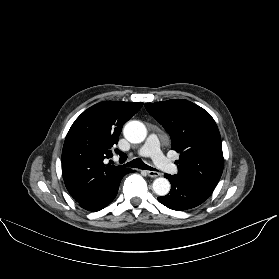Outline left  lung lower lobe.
<instances>
[{"label":"left lung lower lobe","mask_w":279,"mask_h":279,"mask_svg":"<svg viewBox=\"0 0 279 279\" xmlns=\"http://www.w3.org/2000/svg\"><path fill=\"white\" fill-rule=\"evenodd\" d=\"M165 177L171 182L172 188L166 196L158 197V201L170 209L183 211L194 208L211 195L210 192L175 175L165 174Z\"/></svg>","instance_id":"obj_1"}]
</instances>
